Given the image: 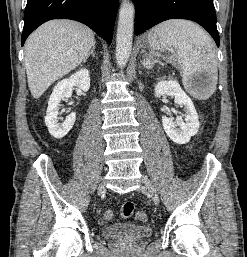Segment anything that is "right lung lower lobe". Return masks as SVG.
Here are the masks:
<instances>
[{"mask_svg": "<svg viewBox=\"0 0 247 257\" xmlns=\"http://www.w3.org/2000/svg\"><path fill=\"white\" fill-rule=\"evenodd\" d=\"M117 10L118 0H27L22 46L38 26L58 18L84 23L110 44Z\"/></svg>", "mask_w": 247, "mask_h": 257, "instance_id": "1", "label": "right lung lower lobe"}]
</instances>
